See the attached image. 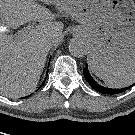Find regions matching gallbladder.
Listing matches in <instances>:
<instances>
[{
    "label": "gallbladder",
    "mask_w": 135,
    "mask_h": 135,
    "mask_svg": "<svg viewBox=\"0 0 135 135\" xmlns=\"http://www.w3.org/2000/svg\"><path fill=\"white\" fill-rule=\"evenodd\" d=\"M1 21H2V15L0 14V24H1Z\"/></svg>",
    "instance_id": "bac80fb5"
}]
</instances>
